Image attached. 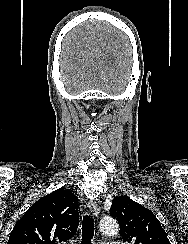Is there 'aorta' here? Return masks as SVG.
<instances>
[{"label":"aorta","instance_id":"762f6f07","mask_svg":"<svg viewBox=\"0 0 188 244\" xmlns=\"http://www.w3.org/2000/svg\"><path fill=\"white\" fill-rule=\"evenodd\" d=\"M100 231L106 235H114L118 232V223L112 217H104L99 223Z\"/></svg>","mask_w":188,"mask_h":244}]
</instances>
